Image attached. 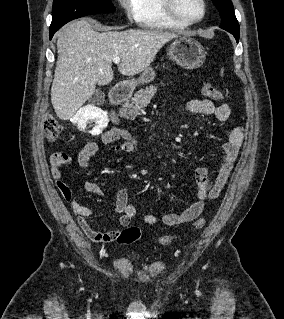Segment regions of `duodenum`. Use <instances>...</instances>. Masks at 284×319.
I'll return each mask as SVG.
<instances>
[{
  "mask_svg": "<svg viewBox=\"0 0 284 319\" xmlns=\"http://www.w3.org/2000/svg\"><path fill=\"white\" fill-rule=\"evenodd\" d=\"M128 91L122 87H115L110 91L109 100L111 105L118 106L128 99ZM112 121L119 122V115L116 112L112 113Z\"/></svg>",
  "mask_w": 284,
  "mask_h": 319,
  "instance_id": "1",
  "label": "duodenum"
}]
</instances>
